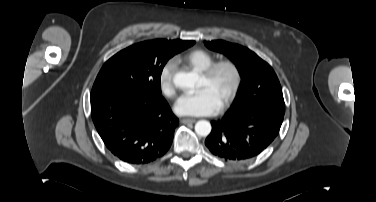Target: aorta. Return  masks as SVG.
Wrapping results in <instances>:
<instances>
[{
    "label": "aorta",
    "instance_id": "1",
    "mask_svg": "<svg viewBox=\"0 0 376 202\" xmlns=\"http://www.w3.org/2000/svg\"><path fill=\"white\" fill-rule=\"evenodd\" d=\"M198 81V74L195 72H178L173 78V83L180 89L194 88ZM195 132L199 136H208L211 132V124L206 120H200L195 124Z\"/></svg>",
    "mask_w": 376,
    "mask_h": 202
}]
</instances>
